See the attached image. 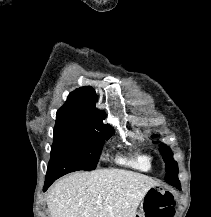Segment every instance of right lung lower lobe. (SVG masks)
<instances>
[{"label": "right lung lower lobe", "mask_w": 211, "mask_h": 217, "mask_svg": "<svg viewBox=\"0 0 211 217\" xmlns=\"http://www.w3.org/2000/svg\"><path fill=\"white\" fill-rule=\"evenodd\" d=\"M56 179H58V178L56 177V178H52V179H46V180H45V185H44L43 191H46V190L48 189V187H49Z\"/></svg>", "instance_id": "right-lung-lower-lobe-1"}]
</instances>
